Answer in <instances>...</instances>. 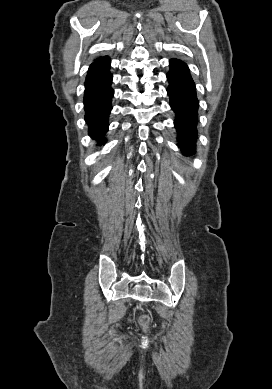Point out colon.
I'll return each mask as SVG.
<instances>
[{"label":"colon","mask_w":272,"mask_h":389,"mask_svg":"<svg viewBox=\"0 0 272 389\" xmlns=\"http://www.w3.org/2000/svg\"><path fill=\"white\" fill-rule=\"evenodd\" d=\"M149 323H150V318L146 315H143L140 317V324L142 325L143 329L145 331L148 330L149 328Z\"/></svg>","instance_id":"1"}]
</instances>
